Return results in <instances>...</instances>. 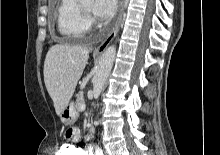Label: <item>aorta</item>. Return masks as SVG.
<instances>
[{
  "instance_id": "1",
  "label": "aorta",
  "mask_w": 220,
  "mask_h": 155,
  "mask_svg": "<svg viewBox=\"0 0 220 155\" xmlns=\"http://www.w3.org/2000/svg\"><path fill=\"white\" fill-rule=\"evenodd\" d=\"M116 56V47L109 46L101 56L95 75L93 77V94L99 96L104 88L107 77L113 67Z\"/></svg>"
}]
</instances>
